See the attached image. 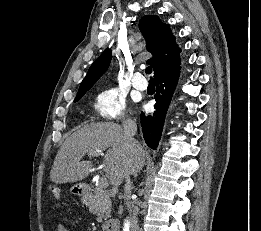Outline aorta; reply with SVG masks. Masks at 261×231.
Returning <instances> with one entry per match:
<instances>
[{"instance_id":"762f6f07","label":"aorta","mask_w":261,"mask_h":231,"mask_svg":"<svg viewBox=\"0 0 261 231\" xmlns=\"http://www.w3.org/2000/svg\"><path fill=\"white\" fill-rule=\"evenodd\" d=\"M123 231H129V224H128V222H125Z\"/></svg>"}]
</instances>
